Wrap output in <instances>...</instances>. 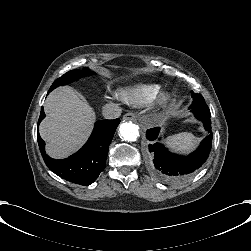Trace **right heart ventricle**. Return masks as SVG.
I'll return each instance as SVG.
<instances>
[{
    "mask_svg": "<svg viewBox=\"0 0 251 251\" xmlns=\"http://www.w3.org/2000/svg\"><path fill=\"white\" fill-rule=\"evenodd\" d=\"M158 86L155 81H138L118 89L116 95L132 106H145L151 103Z\"/></svg>",
    "mask_w": 251,
    "mask_h": 251,
    "instance_id": "obj_1",
    "label": "right heart ventricle"
}]
</instances>
